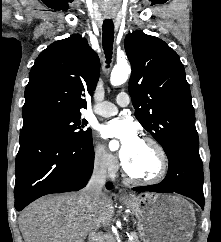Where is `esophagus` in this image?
<instances>
[{
    "mask_svg": "<svg viewBox=\"0 0 221 242\" xmlns=\"http://www.w3.org/2000/svg\"><path fill=\"white\" fill-rule=\"evenodd\" d=\"M119 195L121 197H128V193L124 189L119 190Z\"/></svg>",
    "mask_w": 221,
    "mask_h": 242,
    "instance_id": "34e87169",
    "label": "esophagus"
}]
</instances>
